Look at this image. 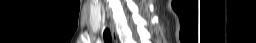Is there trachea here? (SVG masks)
<instances>
[{"instance_id":"3493384b","label":"trachea","mask_w":256,"mask_h":43,"mask_svg":"<svg viewBox=\"0 0 256 43\" xmlns=\"http://www.w3.org/2000/svg\"><path fill=\"white\" fill-rule=\"evenodd\" d=\"M104 40H105V43H111V34H110V31L108 28H106L104 30Z\"/></svg>"}]
</instances>
